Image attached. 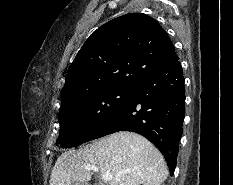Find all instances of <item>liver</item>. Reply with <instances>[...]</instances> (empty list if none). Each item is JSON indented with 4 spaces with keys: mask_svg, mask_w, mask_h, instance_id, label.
Segmentation results:
<instances>
[{
    "mask_svg": "<svg viewBox=\"0 0 233 185\" xmlns=\"http://www.w3.org/2000/svg\"><path fill=\"white\" fill-rule=\"evenodd\" d=\"M87 164L96 166L101 175L111 174L108 185H161L169 174L164 157L150 141L122 131L78 151L63 152L52 169L50 185H89L92 173L83 168Z\"/></svg>",
    "mask_w": 233,
    "mask_h": 185,
    "instance_id": "1",
    "label": "liver"
}]
</instances>
